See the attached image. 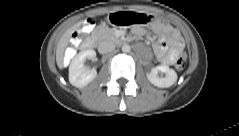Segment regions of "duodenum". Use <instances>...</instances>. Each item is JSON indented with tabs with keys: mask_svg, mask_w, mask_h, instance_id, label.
I'll return each instance as SVG.
<instances>
[{
	"mask_svg": "<svg viewBox=\"0 0 239 136\" xmlns=\"http://www.w3.org/2000/svg\"><path fill=\"white\" fill-rule=\"evenodd\" d=\"M79 39L77 37L74 38V44H78ZM94 46V41L92 39H88L86 40L83 44H82V49L83 50H90L92 49Z\"/></svg>",
	"mask_w": 239,
	"mask_h": 136,
	"instance_id": "obj_1",
	"label": "duodenum"
}]
</instances>
